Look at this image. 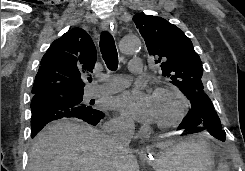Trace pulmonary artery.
I'll return each mask as SVG.
<instances>
[{"label":"pulmonary artery","instance_id":"e3ab8cb5","mask_svg":"<svg viewBox=\"0 0 245 171\" xmlns=\"http://www.w3.org/2000/svg\"><path fill=\"white\" fill-rule=\"evenodd\" d=\"M129 71L132 73H140L142 71L141 59L135 57L129 64ZM129 84V77L127 75H116L108 79V81L99 86H91L88 91V97H98L108 95L126 88Z\"/></svg>","mask_w":245,"mask_h":171}]
</instances>
